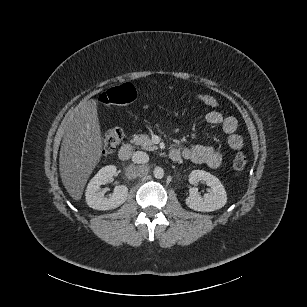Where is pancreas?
I'll list each match as a JSON object with an SVG mask.
<instances>
[{
    "label": "pancreas",
    "mask_w": 307,
    "mask_h": 307,
    "mask_svg": "<svg viewBox=\"0 0 307 307\" xmlns=\"http://www.w3.org/2000/svg\"><path fill=\"white\" fill-rule=\"evenodd\" d=\"M132 142L140 145L146 151L157 150V146H153L151 139L146 134H140L133 138Z\"/></svg>",
    "instance_id": "obj_1"
}]
</instances>
